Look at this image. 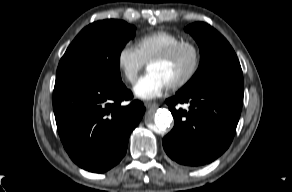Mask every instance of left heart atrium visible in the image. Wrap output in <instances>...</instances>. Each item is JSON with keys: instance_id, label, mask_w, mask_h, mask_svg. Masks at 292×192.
Masks as SVG:
<instances>
[{"instance_id": "obj_1", "label": "left heart atrium", "mask_w": 292, "mask_h": 192, "mask_svg": "<svg viewBox=\"0 0 292 192\" xmlns=\"http://www.w3.org/2000/svg\"><path fill=\"white\" fill-rule=\"evenodd\" d=\"M169 85L157 73L148 71L143 75L134 86V93L137 97L150 100L161 96Z\"/></svg>"}]
</instances>
